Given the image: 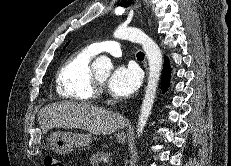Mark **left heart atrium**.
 I'll return each instance as SVG.
<instances>
[{
	"label": "left heart atrium",
	"mask_w": 231,
	"mask_h": 166,
	"mask_svg": "<svg viewBox=\"0 0 231 166\" xmlns=\"http://www.w3.org/2000/svg\"><path fill=\"white\" fill-rule=\"evenodd\" d=\"M141 74L134 65L118 66L107 81L111 93L117 97H130L140 86Z\"/></svg>",
	"instance_id": "39dd6f15"
}]
</instances>
